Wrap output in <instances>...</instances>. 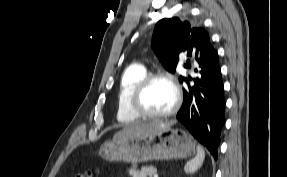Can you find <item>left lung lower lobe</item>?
<instances>
[{
  "mask_svg": "<svg viewBox=\"0 0 287 177\" xmlns=\"http://www.w3.org/2000/svg\"><path fill=\"white\" fill-rule=\"evenodd\" d=\"M198 63L199 69L195 71L199 77H188L184 82V100L177 119L217 160L225 123V98L218 54L213 46L207 58Z\"/></svg>",
  "mask_w": 287,
  "mask_h": 177,
  "instance_id": "1",
  "label": "left lung lower lobe"
}]
</instances>
